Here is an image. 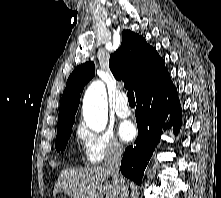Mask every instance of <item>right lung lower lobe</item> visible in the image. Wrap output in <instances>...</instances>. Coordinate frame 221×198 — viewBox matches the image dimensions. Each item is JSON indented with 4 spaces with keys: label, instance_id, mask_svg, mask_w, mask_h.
Returning a JSON list of instances; mask_svg holds the SVG:
<instances>
[{
    "label": "right lung lower lobe",
    "instance_id": "1",
    "mask_svg": "<svg viewBox=\"0 0 221 198\" xmlns=\"http://www.w3.org/2000/svg\"><path fill=\"white\" fill-rule=\"evenodd\" d=\"M135 115L139 135L134 146L126 148L120 170L136 184L142 183L144 170L164 129L162 122L174 127L177 134L182 125L180 101L167 70L136 96Z\"/></svg>",
    "mask_w": 221,
    "mask_h": 198
}]
</instances>
